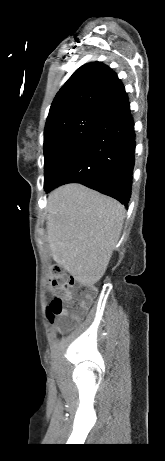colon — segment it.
<instances>
[{
  "label": "colon",
  "instance_id": "obj_1",
  "mask_svg": "<svg viewBox=\"0 0 165 461\" xmlns=\"http://www.w3.org/2000/svg\"><path fill=\"white\" fill-rule=\"evenodd\" d=\"M48 285L54 296L47 308V316L56 321L59 331L67 332L84 314L96 289L92 285L78 283L60 265L50 267Z\"/></svg>",
  "mask_w": 165,
  "mask_h": 461
}]
</instances>
